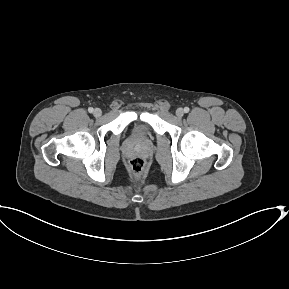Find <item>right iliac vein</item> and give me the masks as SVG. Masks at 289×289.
I'll use <instances>...</instances> for the list:
<instances>
[{
  "mask_svg": "<svg viewBox=\"0 0 289 289\" xmlns=\"http://www.w3.org/2000/svg\"><path fill=\"white\" fill-rule=\"evenodd\" d=\"M93 114H94L95 117H100L101 114H102V111H101V109L96 108V109L94 110Z\"/></svg>",
  "mask_w": 289,
  "mask_h": 289,
  "instance_id": "1",
  "label": "right iliac vein"
}]
</instances>
